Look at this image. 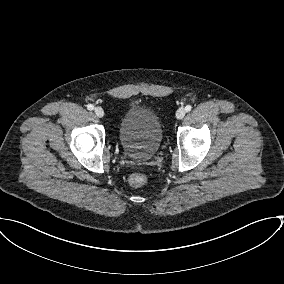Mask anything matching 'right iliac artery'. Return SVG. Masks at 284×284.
I'll use <instances>...</instances> for the list:
<instances>
[{
    "label": "right iliac artery",
    "mask_w": 284,
    "mask_h": 284,
    "mask_svg": "<svg viewBox=\"0 0 284 284\" xmlns=\"http://www.w3.org/2000/svg\"><path fill=\"white\" fill-rule=\"evenodd\" d=\"M87 109L91 111V110L94 109V106H93L92 104H88V105H87Z\"/></svg>",
    "instance_id": "1"
}]
</instances>
